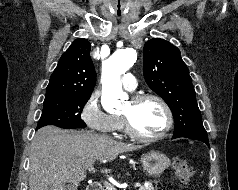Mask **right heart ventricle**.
I'll use <instances>...</instances> for the list:
<instances>
[{
    "label": "right heart ventricle",
    "mask_w": 238,
    "mask_h": 190,
    "mask_svg": "<svg viewBox=\"0 0 238 190\" xmlns=\"http://www.w3.org/2000/svg\"><path fill=\"white\" fill-rule=\"evenodd\" d=\"M115 119V130H123V123L121 121V118L119 116H114Z\"/></svg>",
    "instance_id": "1"
}]
</instances>
